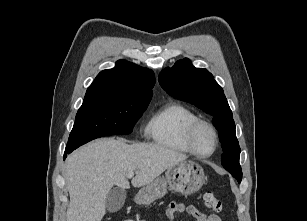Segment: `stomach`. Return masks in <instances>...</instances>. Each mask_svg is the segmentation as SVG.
Masks as SVG:
<instances>
[{
    "mask_svg": "<svg viewBox=\"0 0 307 221\" xmlns=\"http://www.w3.org/2000/svg\"><path fill=\"white\" fill-rule=\"evenodd\" d=\"M205 181L203 168L193 161H182L167 169L165 177L156 178L142 187L136 201L139 204H150L167 193L168 186L181 194L189 195L197 192Z\"/></svg>",
    "mask_w": 307,
    "mask_h": 221,
    "instance_id": "1",
    "label": "stomach"
}]
</instances>
